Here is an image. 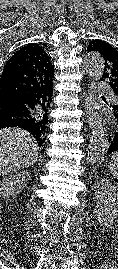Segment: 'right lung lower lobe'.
I'll use <instances>...</instances> for the list:
<instances>
[{
	"label": "right lung lower lobe",
	"mask_w": 118,
	"mask_h": 269,
	"mask_svg": "<svg viewBox=\"0 0 118 269\" xmlns=\"http://www.w3.org/2000/svg\"><path fill=\"white\" fill-rule=\"evenodd\" d=\"M36 109V97L33 94L1 93L0 129L21 127L34 136ZM34 138L38 146H41L45 141V134L38 139L35 136Z\"/></svg>",
	"instance_id": "1"
}]
</instances>
